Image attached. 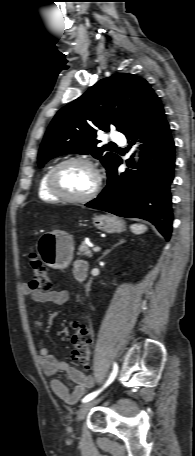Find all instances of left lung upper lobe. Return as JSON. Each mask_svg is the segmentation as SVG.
I'll return each instance as SVG.
<instances>
[{"mask_svg": "<svg viewBox=\"0 0 195 456\" xmlns=\"http://www.w3.org/2000/svg\"><path fill=\"white\" fill-rule=\"evenodd\" d=\"M156 96L148 82L133 74H115L100 80L85 94L62 108L52 120L38 154L39 167L64 154H92L111 170L119 156L97 147L98 130L110 125L126 133L138 113Z\"/></svg>", "mask_w": 195, "mask_h": 456, "instance_id": "left-lung-upper-lobe-1", "label": "left lung upper lobe"}]
</instances>
